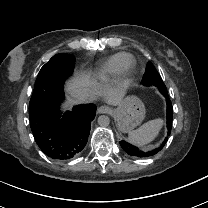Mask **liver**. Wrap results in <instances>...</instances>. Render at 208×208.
Instances as JSON below:
<instances>
[{
    "label": "liver",
    "mask_w": 208,
    "mask_h": 208,
    "mask_svg": "<svg viewBox=\"0 0 208 208\" xmlns=\"http://www.w3.org/2000/svg\"><path fill=\"white\" fill-rule=\"evenodd\" d=\"M100 78L103 81H108L107 77L101 75ZM84 87L89 88L93 93V98L96 96H103L105 101L110 105H119L126 93V89L122 87H111L109 85L102 86L96 82V80L91 79L88 75L82 74L80 76H75L70 79L66 84V91L71 94L74 90ZM78 101H74L77 103Z\"/></svg>",
    "instance_id": "obj_1"
}]
</instances>
